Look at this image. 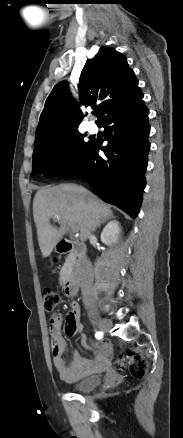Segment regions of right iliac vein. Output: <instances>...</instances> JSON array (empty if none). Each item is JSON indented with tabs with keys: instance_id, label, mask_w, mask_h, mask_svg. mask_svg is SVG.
Listing matches in <instances>:
<instances>
[{
	"instance_id": "obj_1",
	"label": "right iliac vein",
	"mask_w": 183,
	"mask_h": 438,
	"mask_svg": "<svg viewBox=\"0 0 183 438\" xmlns=\"http://www.w3.org/2000/svg\"><path fill=\"white\" fill-rule=\"evenodd\" d=\"M95 323L98 328L103 332L109 331V329L112 327V322L104 318H96Z\"/></svg>"
}]
</instances>
